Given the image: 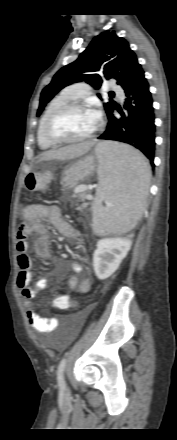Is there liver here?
I'll list each match as a JSON object with an SVG mask.
<instances>
[{
  "mask_svg": "<svg viewBox=\"0 0 177 440\" xmlns=\"http://www.w3.org/2000/svg\"><path fill=\"white\" fill-rule=\"evenodd\" d=\"M94 144L95 143L93 141H85L68 145L57 150H51L44 153L40 161H48L53 159H73L87 153L94 146Z\"/></svg>",
  "mask_w": 177,
  "mask_h": 440,
  "instance_id": "1",
  "label": "liver"
}]
</instances>
